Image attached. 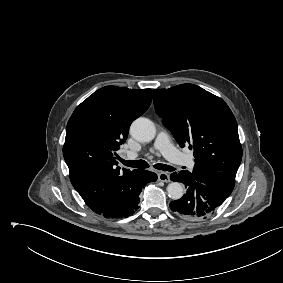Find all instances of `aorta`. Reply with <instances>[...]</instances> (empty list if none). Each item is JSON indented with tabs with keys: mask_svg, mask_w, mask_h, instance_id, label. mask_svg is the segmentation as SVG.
Here are the masks:
<instances>
[{
	"mask_svg": "<svg viewBox=\"0 0 283 283\" xmlns=\"http://www.w3.org/2000/svg\"><path fill=\"white\" fill-rule=\"evenodd\" d=\"M130 133L140 142H149L154 139L156 128L151 120L142 117L131 124ZM167 193L171 199L178 200L183 196L184 190L179 182H171L167 186Z\"/></svg>",
	"mask_w": 283,
	"mask_h": 283,
	"instance_id": "aorta-1",
	"label": "aorta"
}]
</instances>
